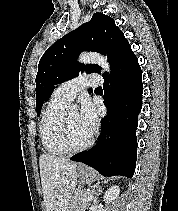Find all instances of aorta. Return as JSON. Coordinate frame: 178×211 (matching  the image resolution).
<instances>
[{
  "mask_svg": "<svg viewBox=\"0 0 178 211\" xmlns=\"http://www.w3.org/2000/svg\"><path fill=\"white\" fill-rule=\"evenodd\" d=\"M78 62L83 64H97L99 65L105 72L110 73V64L107 60V57L99 54V53H82Z\"/></svg>",
  "mask_w": 178,
  "mask_h": 211,
  "instance_id": "1",
  "label": "aorta"
}]
</instances>
